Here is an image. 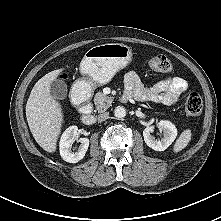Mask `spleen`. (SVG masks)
<instances>
[{
    "mask_svg": "<svg viewBox=\"0 0 221 221\" xmlns=\"http://www.w3.org/2000/svg\"><path fill=\"white\" fill-rule=\"evenodd\" d=\"M191 136L192 133L190 129L184 130L175 142L173 151L176 153L182 151L189 144Z\"/></svg>",
    "mask_w": 221,
    "mask_h": 221,
    "instance_id": "obj_1",
    "label": "spleen"
}]
</instances>
